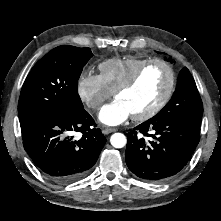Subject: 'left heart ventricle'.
Listing matches in <instances>:
<instances>
[{"label": "left heart ventricle", "instance_id": "obj_1", "mask_svg": "<svg viewBox=\"0 0 221 221\" xmlns=\"http://www.w3.org/2000/svg\"><path fill=\"white\" fill-rule=\"evenodd\" d=\"M168 84V73L161 65L148 67L137 83L119 94L117 99L123 101L132 115L140 114L151 108L162 96Z\"/></svg>", "mask_w": 221, "mask_h": 221}]
</instances>
